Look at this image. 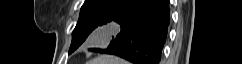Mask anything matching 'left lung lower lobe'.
<instances>
[{
  "mask_svg": "<svg viewBox=\"0 0 242 64\" xmlns=\"http://www.w3.org/2000/svg\"><path fill=\"white\" fill-rule=\"evenodd\" d=\"M120 26L106 49L98 53L120 56L134 64H159L170 24L169 0H124L100 22Z\"/></svg>",
  "mask_w": 242,
  "mask_h": 64,
  "instance_id": "obj_1",
  "label": "left lung lower lobe"
}]
</instances>
